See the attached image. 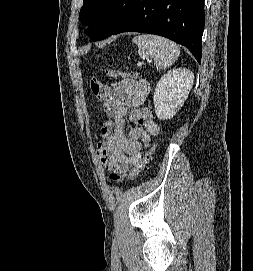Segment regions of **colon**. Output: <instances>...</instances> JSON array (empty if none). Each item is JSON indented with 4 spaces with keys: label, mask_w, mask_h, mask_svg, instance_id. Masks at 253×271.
<instances>
[{
    "label": "colon",
    "mask_w": 253,
    "mask_h": 271,
    "mask_svg": "<svg viewBox=\"0 0 253 271\" xmlns=\"http://www.w3.org/2000/svg\"><path fill=\"white\" fill-rule=\"evenodd\" d=\"M121 75H123V76H131V74L127 73V72H123V73H121ZM103 87L104 86L98 81H92L91 82V89H92V91H93V93L95 94L96 97L100 96ZM154 147H155L154 143L150 144V146H149L147 152L145 153V155L142 158H140L139 160H137V162L135 163L133 171L130 173V175L128 177L129 180H134L144 170V168L146 167L147 163L149 162V160L151 158ZM110 179L112 181H115V182H121V181L124 180V176L116 174V173H112L110 175Z\"/></svg>",
    "instance_id": "1"
}]
</instances>
